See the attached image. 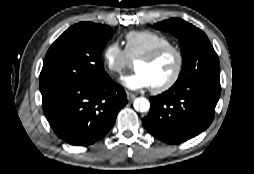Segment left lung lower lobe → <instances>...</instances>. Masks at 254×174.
I'll list each match as a JSON object with an SVG mask.
<instances>
[{
	"mask_svg": "<svg viewBox=\"0 0 254 174\" xmlns=\"http://www.w3.org/2000/svg\"><path fill=\"white\" fill-rule=\"evenodd\" d=\"M220 93V81L202 80L172 86L163 94L149 98L150 111L142 124L162 142L187 141L209 127Z\"/></svg>",
	"mask_w": 254,
	"mask_h": 174,
	"instance_id": "obj_1",
	"label": "left lung lower lobe"
}]
</instances>
